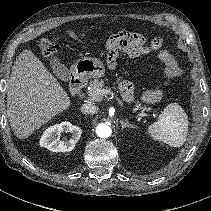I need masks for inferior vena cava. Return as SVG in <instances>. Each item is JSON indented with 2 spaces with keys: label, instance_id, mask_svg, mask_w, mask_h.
<instances>
[{
  "label": "inferior vena cava",
  "instance_id": "obj_1",
  "mask_svg": "<svg viewBox=\"0 0 211 211\" xmlns=\"http://www.w3.org/2000/svg\"><path fill=\"white\" fill-rule=\"evenodd\" d=\"M81 111L84 114H95L98 112V108L92 104H84L81 107Z\"/></svg>",
  "mask_w": 211,
  "mask_h": 211
}]
</instances>
